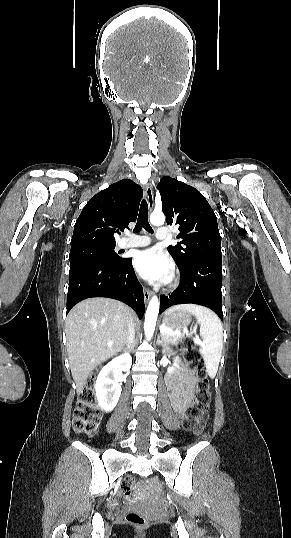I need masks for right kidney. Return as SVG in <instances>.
<instances>
[{
  "mask_svg": "<svg viewBox=\"0 0 291 538\" xmlns=\"http://www.w3.org/2000/svg\"><path fill=\"white\" fill-rule=\"evenodd\" d=\"M132 358L129 354L115 357L100 371L95 392L99 406L106 412L115 408L121 395L122 372L129 371Z\"/></svg>",
  "mask_w": 291,
  "mask_h": 538,
  "instance_id": "obj_1",
  "label": "right kidney"
}]
</instances>
